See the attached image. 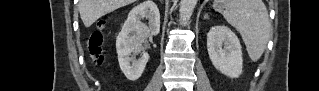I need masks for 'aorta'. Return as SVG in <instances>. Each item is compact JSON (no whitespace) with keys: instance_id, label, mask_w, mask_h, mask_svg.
Masks as SVG:
<instances>
[{"instance_id":"1","label":"aorta","mask_w":319,"mask_h":91,"mask_svg":"<svg viewBox=\"0 0 319 91\" xmlns=\"http://www.w3.org/2000/svg\"><path fill=\"white\" fill-rule=\"evenodd\" d=\"M197 4V0H181L180 1V20L181 24L185 25L189 21Z\"/></svg>"}]
</instances>
